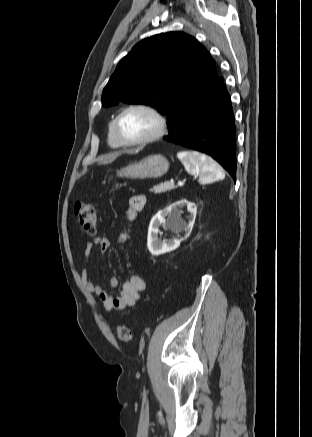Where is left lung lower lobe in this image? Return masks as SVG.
<instances>
[{
	"label": "left lung lower lobe",
	"instance_id": "1",
	"mask_svg": "<svg viewBox=\"0 0 312 437\" xmlns=\"http://www.w3.org/2000/svg\"><path fill=\"white\" fill-rule=\"evenodd\" d=\"M164 140L210 155L236 179L234 114L222 78L193 103Z\"/></svg>",
	"mask_w": 312,
	"mask_h": 437
}]
</instances>
